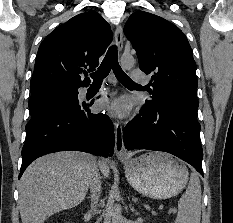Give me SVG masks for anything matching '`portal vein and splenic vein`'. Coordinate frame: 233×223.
<instances>
[{"instance_id": "obj_1", "label": "portal vein and splenic vein", "mask_w": 233, "mask_h": 223, "mask_svg": "<svg viewBox=\"0 0 233 223\" xmlns=\"http://www.w3.org/2000/svg\"><path fill=\"white\" fill-rule=\"evenodd\" d=\"M171 211H173V213H175V211H176L175 207H174V209H171Z\"/></svg>"}]
</instances>
